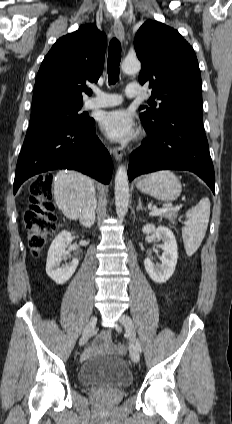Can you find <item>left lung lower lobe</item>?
Instances as JSON below:
<instances>
[{"instance_id":"0a47b994","label":"left lung lower lobe","mask_w":232,"mask_h":424,"mask_svg":"<svg viewBox=\"0 0 232 424\" xmlns=\"http://www.w3.org/2000/svg\"><path fill=\"white\" fill-rule=\"evenodd\" d=\"M149 140L132 152L128 177L164 169L188 170L215 193V175L204 132L202 110L180 109L164 116L158 126L142 119Z\"/></svg>"}]
</instances>
